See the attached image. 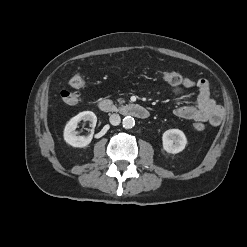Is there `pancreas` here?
Returning a JSON list of instances; mask_svg holds the SVG:
<instances>
[{"label":"pancreas","mask_w":247,"mask_h":247,"mask_svg":"<svg viewBox=\"0 0 247 247\" xmlns=\"http://www.w3.org/2000/svg\"><path fill=\"white\" fill-rule=\"evenodd\" d=\"M117 101L119 104H122V103H124L125 100L123 98H119V99H117Z\"/></svg>","instance_id":"pancreas-1"}]
</instances>
